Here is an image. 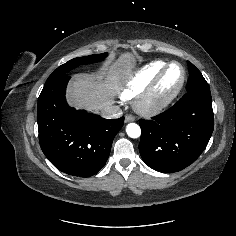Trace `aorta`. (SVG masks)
Listing matches in <instances>:
<instances>
[{"label":"aorta","instance_id":"1","mask_svg":"<svg viewBox=\"0 0 236 236\" xmlns=\"http://www.w3.org/2000/svg\"><path fill=\"white\" fill-rule=\"evenodd\" d=\"M126 133L131 138H138L141 135V129L140 126L136 123H129L126 126Z\"/></svg>","mask_w":236,"mask_h":236}]
</instances>
